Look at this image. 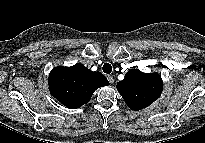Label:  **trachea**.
<instances>
[{
	"label": "trachea",
	"instance_id": "obj_1",
	"mask_svg": "<svg viewBox=\"0 0 205 143\" xmlns=\"http://www.w3.org/2000/svg\"><path fill=\"white\" fill-rule=\"evenodd\" d=\"M104 73L110 74L112 71V66L109 63H105L102 67Z\"/></svg>",
	"mask_w": 205,
	"mask_h": 143
}]
</instances>
